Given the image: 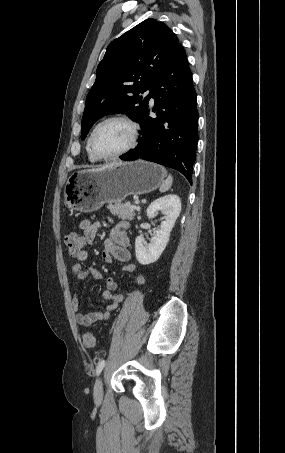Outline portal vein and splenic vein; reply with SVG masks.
Wrapping results in <instances>:
<instances>
[{"label":"portal vein and splenic vein","mask_w":285,"mask_h":453,"mask_svg":"<svg viewBox=\"0 0 285 453\" xmlns=\"http://www.w3.org/2000/svg\"><path fill=\"white\" fill-rule=\"evenodd\" d=\"M136 204H137V202H135V204H132V205L130 206V208H131V209H136Z\"/></svg>","instance_id":"18ae733b"}]
</instances>
